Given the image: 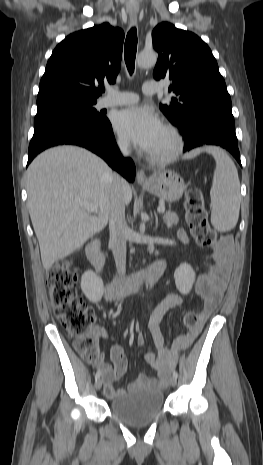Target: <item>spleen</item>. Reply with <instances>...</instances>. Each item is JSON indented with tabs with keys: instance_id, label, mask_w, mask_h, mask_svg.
Returning a JSON list of instances; mask_svg holds the SVG:
<instances>
[{
	"instance_id": "spleen-1",
	"label": "spleen",
	"mask_w": 263,
	"mask_h": 465,
	"mask_svg": "<svg viewBox=\"0 0 263 465\" xmlns=\"http://www.w3.org/2000/svg\"><path fill=\"white\" fill-rule=\"evenodd\" d=\"M206 151L213 155L216 168L213 175L211 197V224L220 232L233 229L240 210V182L237 169L229 156L218 147H203L189 153L191 158Z\"/></svg>"
}]
</instances>
